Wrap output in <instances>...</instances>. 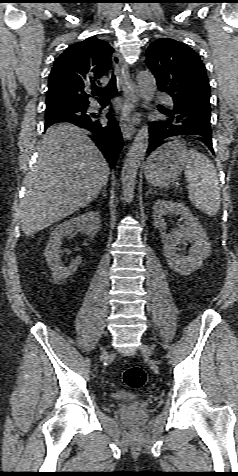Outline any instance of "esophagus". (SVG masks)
Returning <instances> with one entry per match:
<instances>
[{
	"instance_id": "obj_1",
	"label": "esophagus",
	"mask_w": 238,
	"mask_h": 476,
	"mask_svg": "<svg viewBox=\"0 0 238 476\" xmlns=\"http://www.w3.org/2000/svg\"><path fill=\"white\" fill-rule=\"evenodd\" d=\"M112 63L123 91V107L120 116V129L123 138L128 140L135 133L132 113L139 100L138 88L129 74L128 64L119 53L112 57Z\"/></svg>"
}]
</instances>
